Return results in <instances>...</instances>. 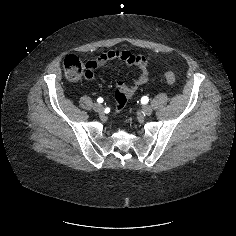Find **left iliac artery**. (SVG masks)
Segmentation results:
<instances>
[{"label":"left iliac artery","mask_w":236,"mask_h":236,"mask_svg":"<svg viewBox=\"0 0 236 236\" xmlns=\"http://www.w3.org/2000/svg\"><path fill=\"white\" fill-rule=\"evenodd\" d=\"M148 100H149V99H148V97H147V96H144V97H142V101H143V102H145V103H146V102H148Z\"/></svg>","instance_id":"left-iliac-artery-1"}]
</instances>
